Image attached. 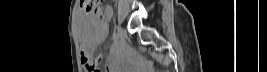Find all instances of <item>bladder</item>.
<instances>
[{
	"mask_svg": "<svg viewBox=\"0 0 267 72\" xmlns=\"http://www.w3.org/2000/svg\"><path fill=\"white\" fill-rule=\"evenodd\" d=\"M86 20H87L89 23L92 22V20H91L90 18H86Z\"/></svg>",
	"mask_w": 267,
	"mask_h": 72,
	"instance_id": "31cf9c89",
	"label": "bladder"
}]
</instances>
